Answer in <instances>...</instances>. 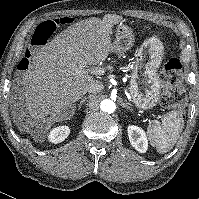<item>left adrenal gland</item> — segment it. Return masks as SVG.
<instances>
[{
	"label": "left adrenal gland",
	"instance_id": "a2214340",
	"mask_svg": "<svg viewBox=\"0 0 199 199\" xmlns=\"http://www.w3.org/2000/svg\"><path fill=\"white\" fill-rule=\"evenodd\" d=\"M121 106H122L123 108H127L128 110L132 111L131 107L128 105L127 102H122V103H121Z\"/></svg>",
	"mask_w": 199,
	"mask_h": 199
}]
</instances>
